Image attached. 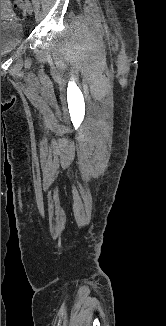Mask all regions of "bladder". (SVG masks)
<instances>
[{
	"instance_id": "obj_1",
	"label": "bladder",
	"mask_w": 166,
	"mask_h": 326,
	"mask_svg": "<svg viewBox=\"0 0 166 326\" xmlns=\"http://www.w3.org/2000/svg\"><path fill=\"white\" fill-rule=\"evenodd\" d=\"M1 0V10H10V5L3 4ZM24 36L22 26L15 20H1V56L15 50L22 42Z\"/></svg>"
}]
</instances>
